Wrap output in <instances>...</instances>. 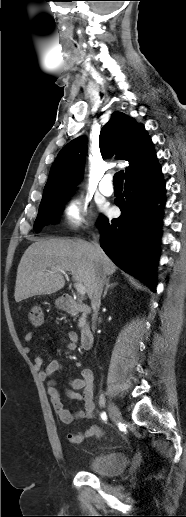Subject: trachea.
<instances>
[{
    "mask_svg": "<svg viewBox=\"0 0 186 517\" xmlns=\"http://www.w3.org/2000/svg\"><path fill=\"white\" fill-rule=\"evenodd\" d=\"M113 183L116 186H123V170L119 171L114 175Z\"/></svg>",
    "mask_w": 186,
    "mask_h": 517,
    "instance_id": "3493384b",
    "label": "trachea"
}]
</instances>
